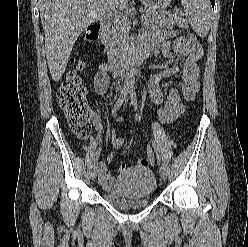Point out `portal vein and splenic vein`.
Returning <instances> with one entry per match:
<instances>
[{
	"instance_id": "18ae733b",
	"label": "portal vein and splenic vein",
	"mask_w": 248,
	"mask_h": 247,
	"mask_svg": "<svg viewBox=\"0 0 248 247\" xmlns=\"http://www.w3.org/2000/svg\"><path fill=\"white\" fill-rule=\"evenodd\" d=\"M139 11H140V12H144V9H143V8H140Z\"/></svg>"
}]
</instances>
